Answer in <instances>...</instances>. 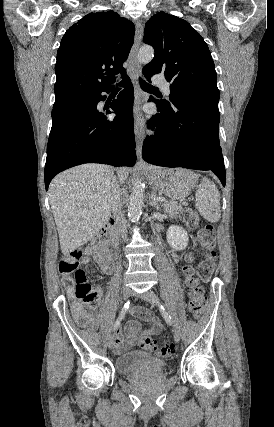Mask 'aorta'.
Returning a JSON list of instances; mask_svg holds the SVG:
<instances>
[{"instance_id": "aorta-1", "label": "aorta", "mask_w": 274, "mask_h": 427, "mask_svg": "<svg viewBox=\"0 0 274 427\" xmlns=\"http://www.w3.org/2000/svg\"><path fill=\"white\" fill-rule=\"evenodd\" d=\"M138 60L141 63H149L154 57V50L150 46H142L138 52ZM145 189L140 180H136L132 187L130 203L128 206V217L132 222L138 221L141 216V209L144 200Z\"/></svg>"}]
</instances>
